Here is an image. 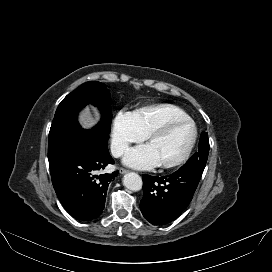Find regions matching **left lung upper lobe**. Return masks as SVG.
I'll return each instance as SVG.
<instances>
[{
  "label": "left lung upper lobe",
  "mask_w": 272,
  "mask_h": 272,
  "mask_svg": "<svg viewBox=\"0 0 272 272\" xmlns=\"http://www.w3.org/2000/svg\"><path fill=\"white\" fill-rule=\"evenodd\" d=\"M209 153L208 133L202 132L198 146V152L195 153L181 168L200 167L205 168Z\"/></svg>",
  "instance_id": "obj_1"
}]
</instances>
